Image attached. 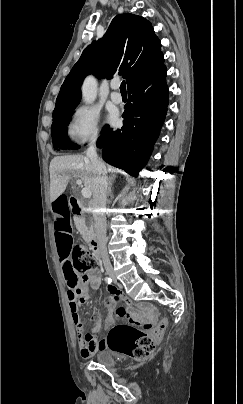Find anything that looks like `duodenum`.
<instances>
[{
	"instance_id": "obj_1",
	"label": "duodenum",
	"mask_w": 243,
	"mask_h": 404,
	"mask_svg": "<svg viewBox=\"0 0 243 404\" xmlns=\"http://www.w3.org/2000/svg\"><path fill=\"white\" fill-rule=\"evenodd\" d=\"M70 208L74 214L79 215L82 212V204L75 197L70 199ZM91 249L95 258L100 259L102 257L101 247L97 240L94 239L91 241Z\"/></svg>"
}]
</instances>
